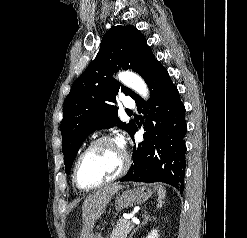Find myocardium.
Here are the masks:
<instances>
[{"label":"myocardium","instance_id":"obj_1","mask_svg":"<svg viewBox=\"0 0 247 238\" xmlns=\"http://www.w3.org/2000/svg\"><path fill=\"white\" fill-rule=\"evenodd\" d=\"M116 143L117 144V141L115 138H113L112 136H109V135H104V136H101L99 138H97L96 140H94L80 155L79 157L77 158L76 160V163H75V166H74V169H73V180H74V183L76 184V186L81 189V190H92V189H96V188H99L101 186H104L106 184H109L119 178H121L123 175H125V173L128 171L129 167H130V164H131V160H130V156L128 154V152L121 148L122 149V153H123V164H122V167L121 169L119 170L118 173H116L114 176L102 181V182H99L97 184H94V185H90V186H86V185H83L79 179V167H80V164L82 162V160L90 153L92 152L94 149H96L99 145L103 144V143Z\"/></svg>","mask_w":247,"mask_h":238}]
</instances>
